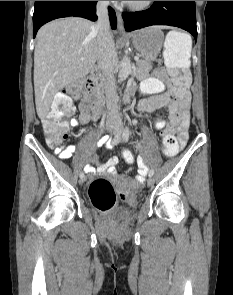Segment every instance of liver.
<instances>
[{
    "label": "liver",
    "mask_w": 233,
    "mask_h": 295,
    "mask_svg": "<svg viewBox=\"0 0 233 295\" xmlns=\"http://www.w3.org/2000/svg\"><path fill=\"white\" fill-rule=\"evenodd\" d=\"M36 38L35 104L38 117L43 120L55 94L85 77L94 67L98 58V30L90 20L68 17L45 24Z\"/></svg>",
    "instance_id": "obj_1"
}]
</instances>
